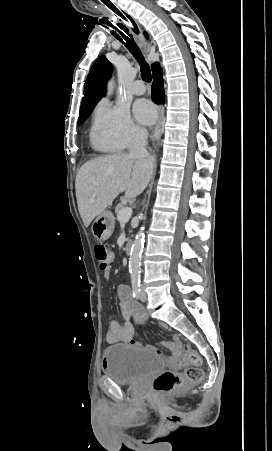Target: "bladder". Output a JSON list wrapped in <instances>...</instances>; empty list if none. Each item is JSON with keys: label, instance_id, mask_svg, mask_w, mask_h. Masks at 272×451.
I'll return each instance as SVG.
<instances>
[{"label": "bladder", "instance_id": "obj_1", "mask_svg": "<svg viewBox=\"0 0 272 451\" xmlns=\"http://www.w3.org/2000/svg\"><path fill=\"white\" fill-rule=\"evenodd\" d=\"M106 368L104 373L112 376L117 384H134L162 372L163 356L144 354L131 345H112L103 352Z\"/></svg>", "mask_w": 272, "mask_h": 451}]
</instances>
